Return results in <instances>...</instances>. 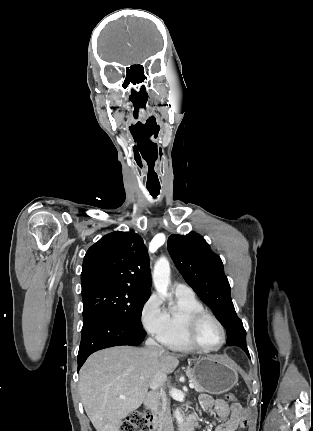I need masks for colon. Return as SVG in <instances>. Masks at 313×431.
<instances>
[{
	"label": "colon",
	"instance_id": "1",
	"mask_svg": "<svg viewBox=\"0 0 313 431\" xmlns=\"http://www.w3.org/2000/svg\"><path fill=\"white\" fill-rule=\"evenodd\" d=\"M229 401H235L236 396L233 393L226 394ZM153 413L148 409L132 413L120 426V431H153L152 426Z\"/></svg>",
	"mask_w": 313,
	"mask_h": 431
}]
</instances>
